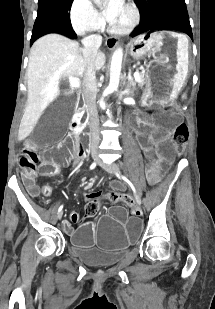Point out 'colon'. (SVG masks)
Listing matches in <instances>:
<instances>
[{"instance_id": "obj_1", "label": "colon", "mask_w": 215, "mask_h": 309, "mask_svg": "<svg viewBox=\"0 0 215 309\" xmlns=\"http://www.w3.org/2000/svg\"><path fill=\"white\" fill-rule=\"evenodd\" d=\"M189 139V129L185 123H180L176 127L174 133V143L177 146L178 151H183L186 143ZM39 154L37 152L25 151L18 156L19 165L25 169L26 171H34L36 168V164L39 161ZM57 171V164L55 161H52L50 158L42 161L41 172L48 173L50 175H54ZM52 193V187L49 184L44 185L43 194L45 196H50ZM106 197L111 203H118L121 200H125V202H129V198L123 194L112 192L106 194ZM101 195L97 193H92L89 195V199L85 204V214L88 218L95 217L100 208H101Z\"/></svg>"}]
</instances>
